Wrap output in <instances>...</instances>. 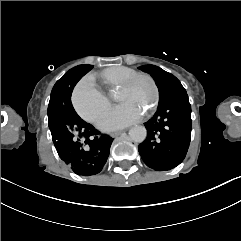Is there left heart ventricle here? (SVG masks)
<instances>
[{
  "instance_id": "b2bd125f",
  "label": "left heart ventricle",
  "mask_w": 241,
  "mask_h": 241,
  "mask_svg": "<svg viewBox=\"0 0 241 241\" xmlns=\"http://www.w3.org/2000/svg\"><path fill=\"white\" fill-rule=\"evenodd\" d=\"M153 93L154 84L152 80L148 79V75L146 78H142V80L137 78L132 81L128 89L123 92L124 105L134 110L145 111L149 109ZM117 95L120 97L119 92Z\"/></svg>"
}]
</instances>
